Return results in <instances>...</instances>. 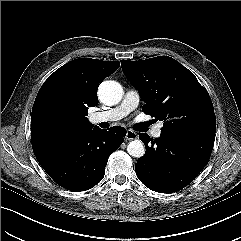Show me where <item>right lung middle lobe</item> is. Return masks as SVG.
Masks as SVG:
<instances>
[{
    "mask_svg": "<svg viewBox=\"0 0 241 241\" xmlns=\"http://www.w3.org/2000/svg\"><path fill=\"white\" fill-rule=\"evenodd\" d=\"M59 117H60L59 115H56V116H55V119H59Z\"/></svg>",
    "mask_w": 241,
    "mask_h": 241,
    "instance_id": "obj_1",
    "label": "right lung middle lobe"
}]
</instances>
